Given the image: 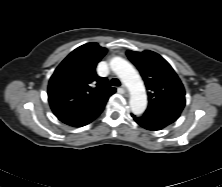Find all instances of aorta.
<instances>
[{"mask_svg":"<svg viewBox=\"0 0 222 187\" xmlns=\"http://www.w3.org/2000/svg\"><path fill=\"white\" fill-rule=\"evenodd\" d=\"M111 69L130 91V108L135 115H141L147 107V95L143 81L133 66L121 57L110 61Z\"/></svg>","mask_w":222,"mask_h":187,"instance_id":"obj_1","label":"aorta"}]
</instances>
